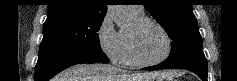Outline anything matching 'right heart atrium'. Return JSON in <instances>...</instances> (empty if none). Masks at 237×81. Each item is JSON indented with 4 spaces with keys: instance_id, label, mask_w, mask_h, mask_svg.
Wrapping results in <instances>:
<instances>
[{
    "instance_id": "1",
    "label": "right heart atrium",
    "mask_w": 237,
    "mask_h": 81,
    "mask_svg": "<svg viewBox=\"0 0 237 81\" xmlns=\"http://www.w3.org/2000/svg\"><path fill=\"white\" fill-rule=\"evenodd\" d=\"M97 38L102 52L114 63L121 61L123 54V43L120 32H118L111 18L106 15L98 28Z\"/></svg>"
}]
</instances>
